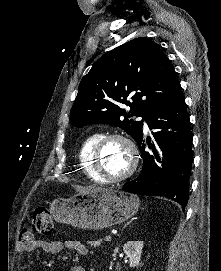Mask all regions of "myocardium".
Segmentation results:
<instances>
[{
  "mask_svg": "<svg viewBox=\"0 0 221 271\" xmlns=\"http://www.w3.org/2000/svg\"><path fill=\"white\" fill-rule=\"evenodd\" d=\"M104 133L107 134V137L98 138L95 150L91 153V161H94L93 166L95 172H98V175H101V178H105L104 181L106 184L122 183V178H127L140 166V163L138 162V146L132 145L130 142V140H132L131 137L124 131L111 130ZM109 142H120V149L126 150L123 157L124 161H126V164H129V166L124 173L118 174L117 177L107 176V172H104L102 165L99 163L100 155H103V150H106V145H108Z\"/></svg>",
  "mask_w": 221,
  "mask_h": 271,
  "instance_id": "obj_1",
  "label": "myocardium"
}]
</instances>
